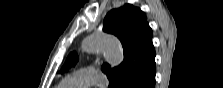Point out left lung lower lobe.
Masks as SVG:
<instances>
[{
    "instance_id": "0a47b994",
    "label": "left lung lower lobe",
    "mask_w": 223,
    "mask_h": 88,
    "mask_svg": "<svg viewBox=\"0 0 223 88\" xmlns=\"http://www.w3.org/2000/svg\"><path fill=\"white\" fill-rule=\"evenodd\" d=\"M156 64L155 59L150 62L142 71L133 72L120 82L112 85L111 88H154Z\"/></svg>"
}]
</instances>
